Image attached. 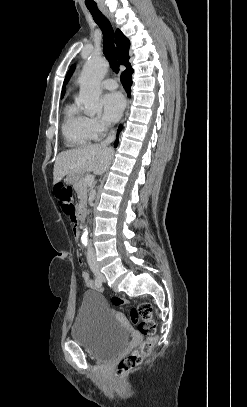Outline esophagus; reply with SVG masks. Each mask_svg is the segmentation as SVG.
I'll list each match as a JSON object with an SVG mask.
<instances>
[{
  "label": "esophagus",
  "mask_w": 247,
  "mask_h": 407,
  "mask_svg": "<svg viewBox=\"0 0 247 407\" xmlns=\"http://www.w3.org/2000/svg\"><path fill=\"white\" fill-rule=\"evenodd\" d=\"M101 10L103 11V13H104L105 15H107V13H106V11H105L104 9L101 8Z\"/></svg>",
  "instance_id": "1"
}]
</instances>
